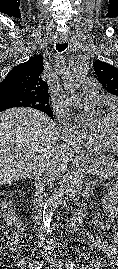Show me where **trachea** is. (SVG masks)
Returning <instances> with one entry per match:
<instances>
[{"instance_id":"obj_1","label":"trachea","mask_w":118,"mask_h":269,"mask_svg":"<svg viewBox=\"0 0 118 269\" xmlns=\"http://www.w3.org/2000/svg\"><path fill=\"white\" fill-rule=\"evenodd\" d=\"M67 47H68V43L67 42L61 43V44L60 43L56 44V49L59 52L64 51Z\"/></svg>"}]
</instances>
